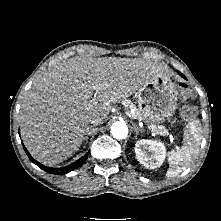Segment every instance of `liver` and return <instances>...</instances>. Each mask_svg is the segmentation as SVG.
Segmentation results:
<instances>
[{"label":"liver","instance_id":"6515ba94","mask_svg":"<svg viewBox=\"0 0 221 221\" xmlns=\"http://www.w3.org/2000/svg\"><path fill=\"white\" fill-rule=\"evenodd\" d=\"M164 69L140 58L63 60L23 98L19 124L24 145L44 165L66 160L79 150L91 118L106 121L112 103L128 98L152 77L163 75Z\"/></svg>","mask_w":221,"mask_h":221}]
</instances>
